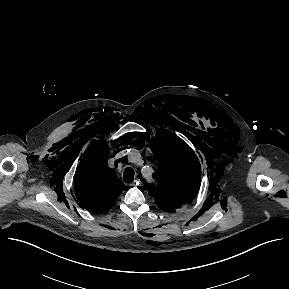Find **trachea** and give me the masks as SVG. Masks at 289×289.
<instances>
[{
    "label": "trachea",
    "mask_w": 289,
    "mask_h": 289,
    "mask_svg": "<svg viewBox=\"0 0 289 289\" xmlns=\"http://www.w3.org/2000/svg\"><path fill=\"white\" fill-rule=\"evenodd\" d=\"M123 180L126 183H131L134 180V170L130 167H127L123 173Z\"/></svg>",
    "instance_id": "1"
}]
</instances>
